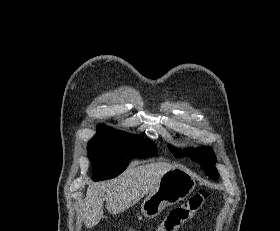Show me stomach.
Returning <instances> with one entry per match:
<instances>
[{
  "label": "stomach",
  "mask_w": 280,
  "mask_h": 231,
  "mask_svg": "<svg viewBox=\"0 0 280 231\" xmlns=\"http://www.w3.org/2000/svg\"><path fill=\"white\" fill-rule=\"evenodd\" d=\"M196 187L195 177L186 167H172L159 179L155 189L150 191L141 203L145 217H156L165 205L178 203Z\"/></svg>",
  "instance_id": "1"
}]
</instances>
